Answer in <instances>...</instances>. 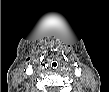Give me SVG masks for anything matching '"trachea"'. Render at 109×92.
<instances>
[{"instance_id": "obj_1", "label": "trachea", "mask_w": 109, "mask_h": 92, "mask_svg": "<svg viewBox=\"0 0 109 92\" xmlns=\"http://www.w3.org/2000/svg\"><path fill=\"white\" fill-rule=\"evenodd\" d=\"M56 65H57L56 63H52V66H53V67H56Z\"/></svg>"}]
</instances>
